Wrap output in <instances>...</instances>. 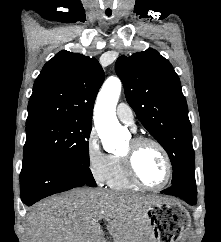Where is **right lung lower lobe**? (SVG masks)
Wrapping results in <instances>:
<instances>
[{
  "label": "right lung lower lobe",
  "mask_w": 221,
  "mask_h": 242,
  "mask_svg": "<svg viewBox=\"0 0 221 242\" xmlns=\"http://www.w3.org/2000/svg\"><path fill=\"white\" fill-rule=\"evenodd\" d=\"M83 185L97 186L89 166L47 153L23 155L20 191L22 202L27 206L44 197Z\"/></svg>",
  "instance_id": "obj_1"
}]
</instances>
